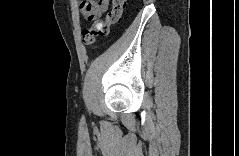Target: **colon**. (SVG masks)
<instances>
[{
	"label": "colon",
	"mask_w": 239,
	"mask_h": 156,
	"mask_svg": "<svg viewBox=\"0 0 239 156\" xmlns=\"http://www.w3.org/2000/svg\"><path fill=\"white\" fill-rule=\"evenodd\" d=\"M124 0H112L107 10L105 20L95 22L90 28L82 32V41L84 45H92L97 37L106 36L109 33L110 26L119 22L124 9Z\"/></svg>",
	"instance_id": "obj_1"
}]
</instances>
